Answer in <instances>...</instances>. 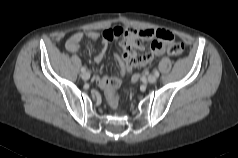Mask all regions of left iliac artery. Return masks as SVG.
<instances>
[{
  "label": "left iliac artery",
  "mask_w": 238,
  "mask_h": 158,
  "mask_svg": "<svg viewBox=\"0 0 238 158\" xmlns=\"http://www.w3.org/2000/svg\"><path fill=\"white\" fill-rule=\"evenodd\" d=\"M154 74L156 75V77H159V72L156 69L154 70Z\"/></svg>",
  "instance_id": "1"
}]
</instances>
